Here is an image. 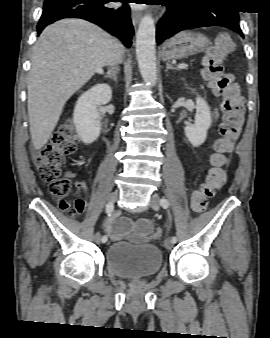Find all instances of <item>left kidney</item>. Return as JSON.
I'll return each mask as SVG.
<instances>
[{
    "instance_id": "left-kidney-1",
    "label": "left kidney",
    "mask_w": 270,
    "mask_h": 338,
    "mask_svg": "<svg viewBox=\"0 0 270 338\" xmlns=\"http://www.w3.org/2000/svg\"><path fill=\"white\" fill-rule=\"evenodd\" d=\"M211 126V112L205 99L196 98V115L194 124L184 128V132L189 142L198 147L204 143L207 137V131Z\"/></svg>"
}]
</instances>
